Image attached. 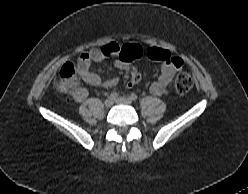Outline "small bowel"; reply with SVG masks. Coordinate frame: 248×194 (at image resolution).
<instances>
[{"label": "small bowel", "mask_w": 248, "mask_h": 194, "mask_svg": "<svg viewBox=\"0 0 248 194\" xmlns=\"http://www.w3.org/2000/svg\"><path fill=\"white\" fill-rule=\"evenodd\" d=\"M144 53L150 59L162 62L161 74L159 79L150 86V93L155 96L166 94L172 79L181 70L183 61L177 56H171L167 50L153 46H149L144 50L141 45L136 43L124 45L114 42L107 43L101 48L92 49L81 54L77 60V73L79 78L90 86L112 88L117 85L118 77L112 76L102 79L98 74L90 70L91 64L101 62L107 57L119 56V59L114 63L115 68L132 72L134 69L131 62L140 58ZM71 94L75 101L82 102L87 97L88 91L85 87L77 86L71 91Z\"/></svg>", "instance_id": "1"}]
</instances>
